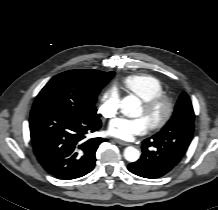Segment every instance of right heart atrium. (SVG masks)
<instances>
[{"label": "right heart atrium", "instance_id": "d8ad5b80", "mask_svg": "<svg viewBox=\"0 0 218 210\" xmlns=\"http://www.w3.org/2000/svg\"><path fill=\"white\" fill-rule=\"evenodd\" d=\"M120 97L115 89L107 90L101 97L99 113L105 118H112L118 112Z\"/></svg>", "mask_w": 218, "mask_h": 210}]
</instances>
